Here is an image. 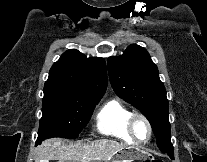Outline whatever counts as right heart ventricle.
Wrapping results in <instances>:
<instances>
[{"mask_svg": "<svg viewBox=\"0 0 207 162\" xmlns=\"http://www.w3.org/2000/svg\"><path fill=\"white\" fill-rule=\"evenodd\" d=\"M132 114V111L120 100L109 99L96 113V129L103 135H109L126 142H133L127 131V122Z\"/></svg>", "mask_w": 207, "mask_h": 162, "instance_id": "1", "label": "right heart ventricle"}]
</instances>
